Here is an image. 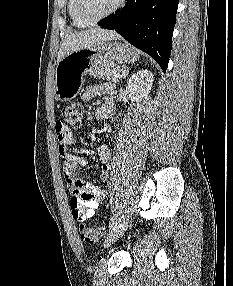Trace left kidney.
Here are the masks:
<instances>
[{
	"label": "left kidney",
	"mask_w": 233,
	"mask_h": 286,
	"mask_svg": "<svg viewBox=\"0 0 233 286\" xmlns=\"http://www.w3.org/2000/svg\"><path fill=\"white\" fill-rule=\"evenodd\" d=\"M153 79V74L147 69L132 75L126 85V91L131 101L139 102L146 97L152 89Z\"/></svg>",
	"instance_id": "obj_1"
}]
</instances>
